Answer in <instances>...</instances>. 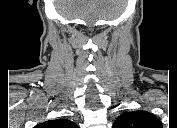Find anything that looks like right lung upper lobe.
<instances>
[{"label":"right lung upper lobe","mask_w":177,"mask_h":128,"mask_svg":"<svg viewBox=\"0 0 177 128\" xmlns=\"http://www.w3.org/2000/svg\"><path fill=\"white\" fill-rule=\"evenodd\" d=\"M38 128H78V126L67 119L49 120L37 125Z\"/></svg>","instance_id":"right-lung-upper-lobe-1"}]
</instances>
